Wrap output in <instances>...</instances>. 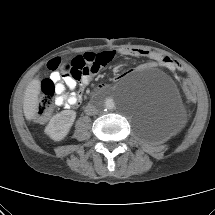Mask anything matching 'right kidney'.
<instances>
[{
  "mask_svg": "<svg viewBox=\"0 0 215 215\" xmlns=\"http://www.w3.org/2000/svg\"><path fill=\"white\" fill-rule=\"evenodd\" d=\"M76 118L73 110H64L54 115L45 128V133L55 141H60L66 137Z\"/></svg>",
  "mask_w": 215,
  "mask_h": 215,
  "instance_id": "ca27d5eb",
  "label": "right kidney"
}]
</instances>
